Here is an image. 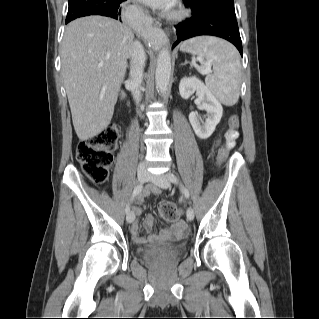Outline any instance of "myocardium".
<instances>
[{
  "instance_id": "f54148a6",
  "label": "myocardium",
  "mask_w": 319,
  "mask_h": 319,
  "mask_svg": "<svg viewBox=\"0 0 319 319\" xmlns=\"http://www.w3.org/2000/svg\"><path fill=\"white\" fill-rule=\"evenodd\" d=\"M183 15V10L180 9V8H176L174 9L171 14H170V17L171 18H179Z\"/></svg>"
}]
</instances>
